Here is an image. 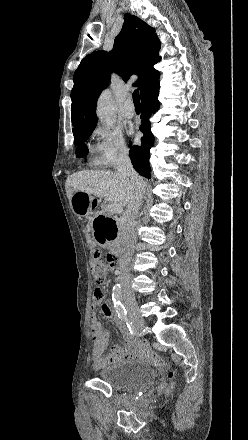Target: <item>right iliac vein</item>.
Returning a JSON list of instances; mask_svg holds the SVG:
<instances>
[{"mask_svg": "<svg viewBox=\"0 0 248 440\" xmlns=\"http://www.w3.org/2000/svg\"><path fill=\"white\" fill-rule=\"evenodd\" d=\"M124 304H125L126 308L128 309L129 315H130L131 319L133 320V322L135 323V325L140 329L144 328L145 320L141 316V313L139 311L135 297L134 296H126L124 298Z\"/></svg>", "mask_w": 248, "mask_h": 440, "instance_id": "right-iliac-vein-1", "label": "right iliac vein"}]
</instances>
